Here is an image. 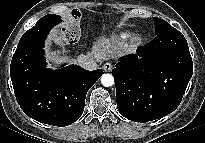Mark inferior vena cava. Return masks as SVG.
I'll return each instance as SVG.
<instances>
[{
    "instance_id": "602c4592",
    "label": "inferior vena cava",
    "mask_w": 205,
    "mask_h": 143,
    "mask_svg": "<svg viewBox=\"0 0 205 143\" xmlns=\"http://www.w3.org/2000/svg\"><path fill=\"white\" fill-rule=\"evenodd\" d=\"M78 64L86 70H95L98 67L97 61L93 57L80 55L77 58Z\"/></svg>"
}]
</instances>
